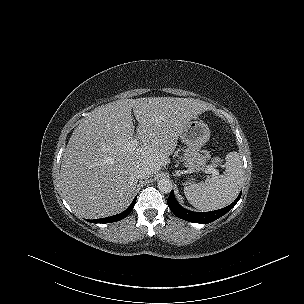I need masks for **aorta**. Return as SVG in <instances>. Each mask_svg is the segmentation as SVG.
I'll use <instances>...</instances> for the list:
<instances>
[{
    "label": "aorta",
    "instance_id": "aorta-1",
    "mask_svg": "<svg viewBox=\"0 0 304 304\" xmlns=\"http://www.w3.org/2000/svg\"><path fill=\"white\" fill-rule=\"evenodd\" d=\"M158 189L163 193H170L173 185L169 178L161 177L157 183Z\"/></svg>",
    "mask_w": 304,
    "mask_h": 304
}]
</instances>
